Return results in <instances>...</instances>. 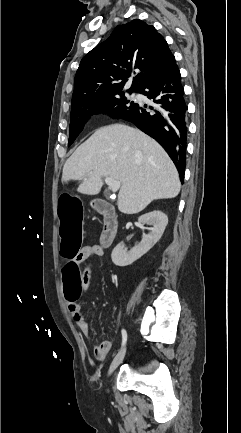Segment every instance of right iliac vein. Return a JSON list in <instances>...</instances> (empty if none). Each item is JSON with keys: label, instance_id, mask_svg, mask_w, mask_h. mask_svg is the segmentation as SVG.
I'll return each mask as SVG.
<instances>
[{"label": "right iliac vein", "instance_id": "1", "mask_svg": "<svg viewBox=\"0 0 241 433\" xmlns=\"http://www.w3.org/2000/svg\"><path fill=\"white\" fill-rule=\"evenodd\" d=\"M125 354H126V347H123L114 357L108 370V376H110L114 372V370L121 364V362L125 357Z\"/></svg>", "mask_w": 241, "mask_h": 433}]
</instances>
